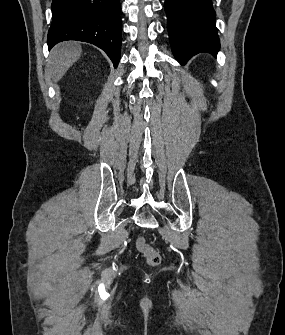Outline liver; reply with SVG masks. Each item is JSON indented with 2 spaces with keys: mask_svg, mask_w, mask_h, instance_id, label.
Segmentation results:
<instances>
[{
  "mask_svg": "<svg viewBox=\"0 0 285 335\" xmlns=\"http://www.w3.org/2000/svg\"><path fill=\"white\" fill-rule=\"evenodd\" d=\"M82 54L81 46L77 42H62L51 50L48 68L53 82H59L65 72L77 62Z\"/></svg>",
  "mask_w": 285,
  "mask_h": 335,
  "instance_id": "obj_1",
  "label": "liver"
}]
</instances>
